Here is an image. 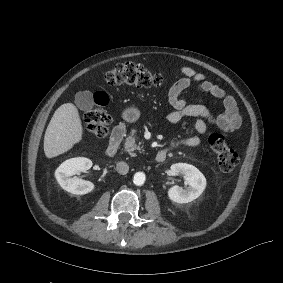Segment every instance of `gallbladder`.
Instances as JSON below:
<instances>
[{"mask_svg": "<svg viewBox=\"0 0 283 283\" xmlns=\"http://www.w3.org/2000/svg\"><path fill=\"white\" fill-rule=\"evenodd\" d=\"M75 104L80 110L91 111L94 109L93 93L90 91H80L75 94Z\"/></svg>", "mask_w": 283, "mask_h": 283, "instance_id": "gallbladder-1", "label": "gallbladder"}]
</instances>
